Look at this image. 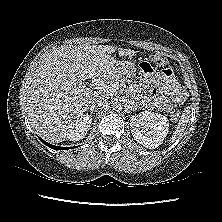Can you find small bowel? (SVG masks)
<instances>
[{"mask_svg": "<svg viewBox=\"0 0 222 222\" xmlns=\"http://www.w3.org/2000/svg\"><path fill=\"white\" fill-rule=\"evenodd\" d=\"M137 89L144 95V103L149 108L169 110L184 100V90L170 69L162 75L154 73L142 76Z\"/></svg>", "mask_w": 222, "mask_h": 222, "instance_id": "1", "label": "small bowel"}]
</instances>
